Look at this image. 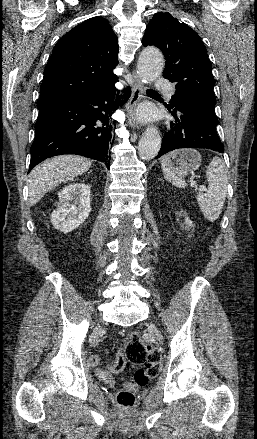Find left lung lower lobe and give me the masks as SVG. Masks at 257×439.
Returning <instances> with one entry per match:
<instances>
[{"instance_id": "0a47b994", "label": "left lung lower lobe", "mask_w": 257, "mask_h": 439, "mask_svg": "<svg viewBox=\"0 0 257 439\" xmlns=\"http://www.w3.org/2000/svg\"><path fill=\"white\" fill-rule=\"evenodd\" d=\"M177 98V93L172 99ZM174 116L170 130L165 134L161 149L156 158L179 148H205L224 152L217 132L215 113L206 108L193 104L187 99H181L175 107H167Z\"/></svg>"}]
</instances>
